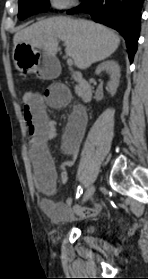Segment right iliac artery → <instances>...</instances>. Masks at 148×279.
<instances>
[{
  "instance_id": "right-iliac-artery-1",
  "label": "right iliac artery",
  "mask_w": 148,
  "mask_h": 279,
  "mask_svg": "<svg viewBox=\"0 0 148 279\" xmlns=\"http://www.w3.org/2000/svg\"><path fill=\"white\" fill-rule=\"evenodd\" d=\"M82 193H83V188H82V186H78L77 192H76V199L80 198V196L82 195Z\"/></svg>"
}]
</instances>
